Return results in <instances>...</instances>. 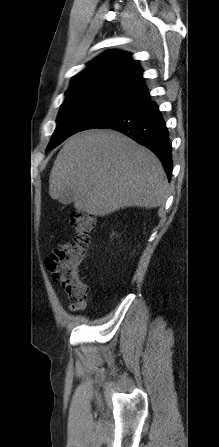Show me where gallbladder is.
<instances>
[{
	"instance_id": "1",
	"label": "gallbladder",
	"mask_w": 219,
	"mask_h": 447,
	"mask_svg": "<svg viewBox=\"0 0 219 447\" xmlns=\"http://www.w3.org/2000/svg\"><path fill=\"white\" fill-rule=\"evenodd\" d=\"M59 202L62 203V204H64V205H69V204H71V203L73 202V198H72V194H71V192L68 193V196H67V197H65V198L61 197V198L59 199Z\"/></svg>"
}]
</instances>
